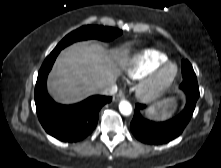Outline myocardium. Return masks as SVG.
<instances>
[{
  "label": "myocardium",
  "mask_w": 221,
  "mask_h": 168,
  "mask_svg": "<svg viewBox=\"0 0 221 168\" xmlns=\"http://www.w3.org/2000/svg\"><path fill=\"white\" fill-rule=\"evenodd\" d=\"M177 75V64L172 61L164 62L141 83L138 89L139 96L147 101L159 97L174 83Z\"/></svg>",
  "instance_id": "obj_1"
}]
</instances>
